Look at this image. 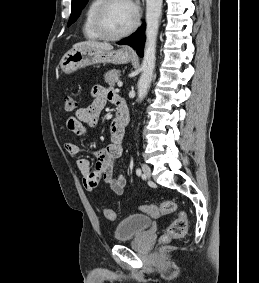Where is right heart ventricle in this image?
Masks as SVG:
<instances>
[{"label":"right heart ventricle","mask_w":259,"mask_h":283,"mask_svg":"<svg viewBox=\"0 0 259 283\" xmlns=\"http://www.w3.org/2000/svg\"><path fill=\"white\" fill-rule=\"evenodd\" d=\"M100 2L101 0H91L84 14L82 31L84 36L90 40L101 39V37L98 35L94 28V14Z\"/></svg>","instance_id":"right-heart-ventricle-1"}]
</instances>
